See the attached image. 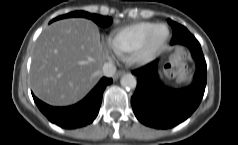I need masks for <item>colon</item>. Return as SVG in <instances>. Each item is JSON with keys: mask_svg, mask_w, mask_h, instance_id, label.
<instances>
[{"mask_svg": "<svg viewBox=\"0 0 238 145\" xmlns=\"http://www.w3.org/2000/svg\"><path fill=\"white\" fill-rule=\"evenodd\" d=\"M166 70L169 75L173 77L182 78L185 76L186 68L183 62V53L178 51L171 58L170 62L166 66Z\"/></svg>", "mask_w": 238, "mask_h": 145, "instance_id": "colon-1", "label": "colon"}]
</instances>
